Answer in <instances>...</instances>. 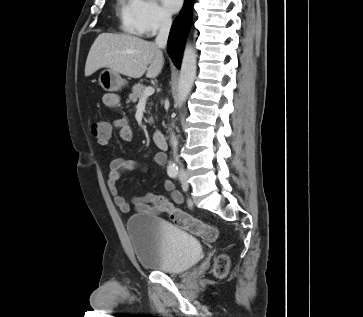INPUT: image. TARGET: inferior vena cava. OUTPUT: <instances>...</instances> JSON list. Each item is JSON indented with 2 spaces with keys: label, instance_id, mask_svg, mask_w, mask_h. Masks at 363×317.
<instances>
[{
  "label": "inferior vena cava",
  "instance_id": "602c4592",
  "mask_svg": "<svg viewBox=\"0 0 363 317\" xmlns=\"http://www.w3.org/2000/svg\"><path fill=\"white\" fill-rule=\"evenodd\" d=\"M171 24H172V19L169 16L163 15L161 17V23H160V29H159V33L155 39V44L162 49H165L167 46V40H168V36H169V32H170V28H171ZM170 143L172 145L173 148V152H174V156L176 161H178V157H177V145H178V141L174 135V133H171V137H170Z\"/></svg>",
  "mask_w": 363,
  "mask_h": 317
}]
</instances>
